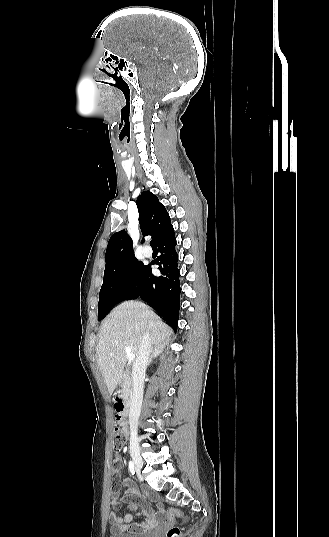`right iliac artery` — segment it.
I'll list each match as a JSON object with an SVG mask.
<instances>
[{
	"instance_id": "right-iliac-artery-1",
	"label": "right iliac artery",
	"mask_w": 329,
	"mask_h": 537,
	"mask_svg": "<svg viewBox=\"0 0 329 537\" xmlns=\"http://www.w3.org/2000/svg\"><path fill=\"white\" fill-rule=\"evenodd\" d=\"M129 471L131 472L132 475L135 474V468H134V464L132 461L129 462Z\"/></svg>"
}]
</instances>
